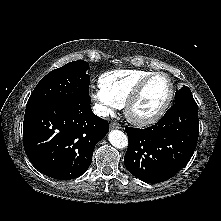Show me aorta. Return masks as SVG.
<instances>
[{
  "mask_svg": "<svg viewBox=\"0 0 221 221\" xmlns=\"http://www.w3.org/2000/svg\"><path fill=\"white\" fill-rule=\"evenodd\" d=\"M108 140L111 145L118 149H123L128 146V138L120 130H111L108 134Z\"/></svg>",
  "mask_w": 221,
  "mask_h": 221,
  "instance_id": "obj_1",
  "label": "aorta"
}]
</instances>
